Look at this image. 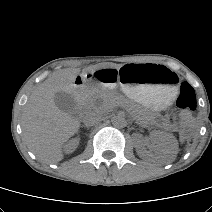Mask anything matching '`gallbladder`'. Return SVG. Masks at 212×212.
<instances>
[{"label":"gallbladder","mask_w":212,"mask_h":212,"mask_svg":"<svg viewBox=\"0 0 212 212\" xmlns=\"http://www.w3.org/2000/svg\"><path fill=\"white\" fill-rule=\"evenodd\" d=\"M54 102L61 111L68 114L74 112L76 102L72 94L59 91L54 94Z\"/></svg>","instance_id":"1"}]
</instances>
